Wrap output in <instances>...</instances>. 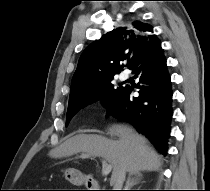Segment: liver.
I'll return each instance as SVG.
<instances>
[{"instance_id": "obj_1", "label": "liver", "mask_w": 210, "mask_h": 191, "mask_svg": "<svg viewBox=\"0 0 210 191\" xmlns=\"http://www.w3.org/2000/svg\"><path fill=\"white\" fill-rule=\"evenodd\" d=\"M108 134L118 140L94 134H78L52 149V158L70 157L77 153L103 157L112 165L111 183L113 184L121 168L129 173L153 171L161 166L159 155L149 145L145 137L126 125H113Z\"/></svg>"}]
</instances>
